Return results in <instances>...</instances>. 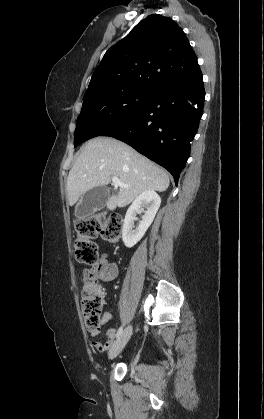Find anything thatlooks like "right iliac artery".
<instances>
[{"label": "right iliac artery", "mask_w": 264, "mask_h": 419, "mask_svg": "<svg viewBox=\"0 0 264 419\" xmlns=\"http://www.w3.org/2000/svg\"><path fill=\"white\" fill-rule=\"evenodd\" d=\"M122 332H123V326H121V327L118 329V331H117V333H116V338H119V336L122 334Z\"/></svg>", "instance_id": "right-iliac-artery-1"}]
</instances>
